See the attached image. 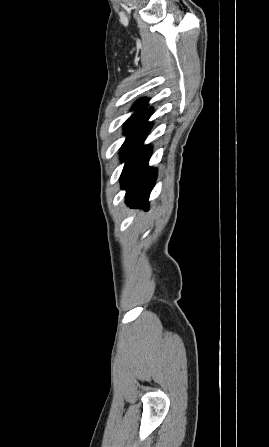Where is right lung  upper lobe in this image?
Returning a JSON list of instances; mask_svg holds the SVG:
<instances>
[{"label": "right lung upper lobe", "mask_w": 269, "mask_h": 447, "mask_svg": "<svg viewBox=\"0 0 269 447\" xmlns=\"http://www.w3.org/2000/svg\"><path fill=\"white\" fill-rule=\"evenodd\" d=\"M147 102H148V99H142V100H139L134 106H133V110H135V111H139V110H141V109H143L144 107H146L147 106Z\"/></svg>", "instance_id": "1"}]
</instances>
